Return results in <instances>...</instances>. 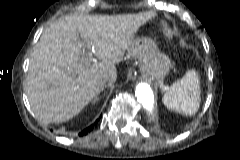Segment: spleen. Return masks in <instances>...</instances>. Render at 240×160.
<instances>
[{
  "instance_id": "spleen-1",
  "label": "spleen",
  "mask_w": 240,
  "mask_h": 160,
  "mask_svg": "<svg viewBox=\"0 0 240 160\" xmlns=\"http://www.w3.org/2000/svg\"><path fill=\"white\" fill-rule=\"evenodd\" d=\"M163 103L169 109L185 115H194L200 105L199 77L195 70H189L164 94Z\"/></svg>"
}]
</instances>
